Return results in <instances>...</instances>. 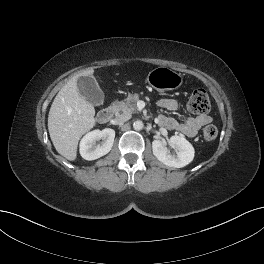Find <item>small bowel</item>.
<instances>
[{
	"label": "small bowel",
	"instance_id": "obj_1",
	"mask_svg": "<svg viewBox=\"0 0 264 264\" xmlns=\"http://www.w3.org/2000/svg\"><path fill=\"white\" fill-rule=\"evenodd\" d=\"M157 105L160 108L170 111L178 110V103L173 99L162 98L157 102ZM158 122L168 130L179 131L188 137H193L198 133L202 126L211 122V117L207 114L198 115L195 117H189L185 121L180 122L172 117L160 114L158 116Z\"/></svg>",
	"mask_w": 264,
	"mask_h": 264
}]
</instances>
